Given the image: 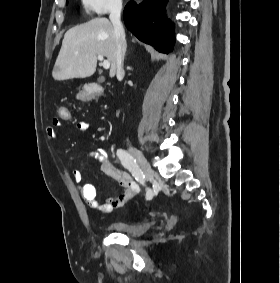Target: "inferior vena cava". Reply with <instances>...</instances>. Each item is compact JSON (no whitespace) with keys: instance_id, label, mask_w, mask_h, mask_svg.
Segmentation results:
<instances>
[{"instance_id":"1","label":"inferior vena cava","mask_w":280,"mask_h":283,"mask_svg":"<svg viewBox=\"0 0 280 283\" xmlns=\"http://www.w3.org/2000/svg\"><path fill=\"white\" fill-rule=\"evenodd\" d=\"M121 10L122 4L115 5L110 12V21L113 24L116 42H117V53H116V72L117 76H124V56L126 52V39L124 28L121 23Z\"/></svg>"}]
</instances>
